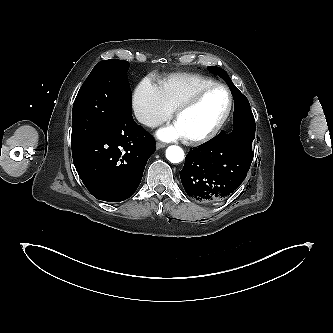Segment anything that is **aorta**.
Segmentation results:
<instances>
[{
  "mask_svg": "<svg viewBox=\"0 0 333 333\" xmlns=\"http://www.w3.org/2000/svg\"><path fill=\"white\" fill-rule=\"evenodd\" d=\"M166 158L171 163H179L184 159V151L179 146L171 145L166 150Z\"/></svg>",
  "mask_w": 333,
  "mask_h": 333,
  "instance_id": "aorta-1",
  "label": "aorta"
}]
</instances>
